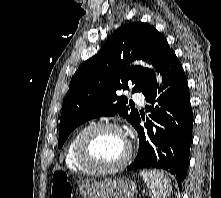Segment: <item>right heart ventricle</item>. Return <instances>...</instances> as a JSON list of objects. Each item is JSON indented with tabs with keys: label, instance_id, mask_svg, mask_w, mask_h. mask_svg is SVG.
Segmentation results:
<instances>
[{
	"label": "right heart ventricle",
	"instance_id": "obj_1",
	"mask_svg": "<svg viewBox=\"0 0 221 198\" xmlns=\"http://www.w3.org/2000/svg\"><path fill=\"white\" fill-rule=\"evenodd\" d=\"M86 128H81L78 131H76L72 137L69 139L65 151H64V162L66 167L77 173H89L90 171L86 169L84 166L80 164V162L77 159V154H76V147H77V142L81 134Z\"/></svg>",
	"mask_w": 221,
	"mask_h": 198
}]
</instances>
